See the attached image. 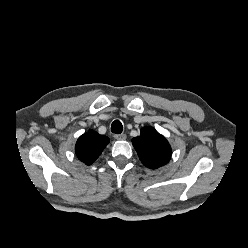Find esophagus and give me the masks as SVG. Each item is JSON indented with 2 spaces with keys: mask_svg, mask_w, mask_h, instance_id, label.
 Returning a JSON list of instances; mask_svg holds the SVG:
<instances>
[{
  "mask_svg": "<svg viewBox=\"0 0 248 248\" xmlns=\"http://www.w3.org/2000/svg\"><path fill=\"white\" fill-rule=\"evenodd\" d=\"M114 138L116 140H125L126 139V135L125 134H115Z\"/></svg>",
  "mask_w": 248,
  "mask_h": 248,
  "instance_id": "esophagus-1",
  "label": "esophagus"
}]
</instances>
